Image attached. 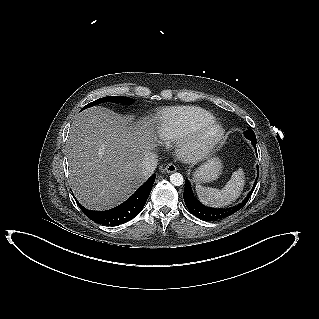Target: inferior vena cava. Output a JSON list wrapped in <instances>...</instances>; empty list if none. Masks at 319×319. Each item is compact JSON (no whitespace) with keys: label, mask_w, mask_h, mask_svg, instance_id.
Masks as SVG:
<instances>
[{"label":"inferior vena cava","mask_w":319,"mask_h":319,"mask_svg":"<svg viewBox=\"0 0 319 319\" xmlns=\"http://www.w3.org/2000/svg\"><path fill=\"white\" fill-rule=\"evenodd\" d=\"M158 159L155 153H149L142 161L141 167L143 173L152 174L157 167Z\"/></svg>","instance_id":"obj_1"}]
</instances>
